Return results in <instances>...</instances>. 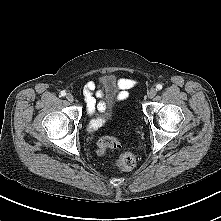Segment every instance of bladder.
Listing matches in <instances>:
<instances>
[{
    "label": "bladder",
    "mask_w": 221,
    "mask_h": 221,
    "mask_svg": "<svg viewBox=\"0 0 221 221\" xmlns=\"http://www.w3.org/2000/svg\"><path fill=\"white\" fill-rule=\"evenodd\" d=\"M108 85H110V82H108ZM116 94V93H113ZM105 104V110L100 112V118L102 119H111L118 108V104L116 101H112L110 99L105 100V102H103Z\"/></svg>",
    "instance_id": "31cf9c89"
}]
</instances>
